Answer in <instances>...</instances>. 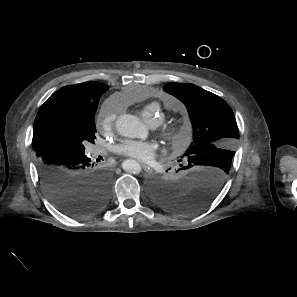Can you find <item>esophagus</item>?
Returning a JSON list of instances; mask_svg holds the SVG:
<instances>
[{
	"instance_id": "1",
	"label": "esophagus",
	"mask_w": 297,
	"mask_h": 297,
	"mask_svg": "<svg viewBox=\"0 0 297 297\" xmlns=\"http://www.w3.org/2000/svg\"><path fill=\"white\" fill-rule=\"evenodd\" d=\"M141 165H142L143 169H144L147 173H151V172H152V169H151L148 165H146V164H144V163H141Z\"/></svg>"
}]
</instances>
